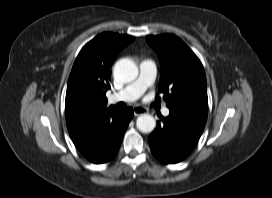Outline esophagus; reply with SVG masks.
<instances>
[{"mask_svg": "<svg viewBox=\"0 0 272 198\" xmlns=\"http://www.w3.org/2000/svg\"><path fill=\"white\" fill-rule=\"evenodd\" d=\"M134 115L139 116L146 113V110L141 106L133 107Z\"/></svg>", "mask_w": 272, "mask_h": 198, "instance_id": "34e87169", "label": "esophagus"}]
</instances>
